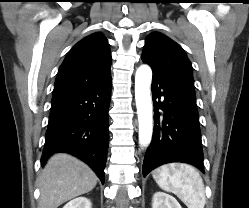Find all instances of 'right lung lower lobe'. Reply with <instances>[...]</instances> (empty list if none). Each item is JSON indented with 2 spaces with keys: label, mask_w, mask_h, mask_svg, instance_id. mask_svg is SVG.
<instances>
[{
  "label": "right lung lower lobe",
  "mask_w": 249,
  "mask_h": 208,
  "mask_svg": "<svg viewBox=\"0 0 249 208\" xmlns=\"http://www.w3.org/2000/svg\"><path fill=\"white\" fill-rule=\"evenodd\" d=\"M111 77L94 86L55 95L41 158L69 153L87 163L104 183L108 152Z\"/></svg>",
  "instance_id": "98d812e1"
}]
</instances>
